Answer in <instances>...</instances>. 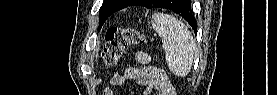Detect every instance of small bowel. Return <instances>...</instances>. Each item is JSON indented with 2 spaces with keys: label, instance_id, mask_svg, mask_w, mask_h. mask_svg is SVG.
<instances>
[{
  "label": "small bowel",
  "instance_id": "c3829d8e",
  "mask_svg": "<svg viewBox=\"0 0 277 95\" xmlns=\"http://www.w3.org/2000/svg\"><path fill=\"white\" fill-rule=\"evenodd\" d=\"M136 62L141 67H130L124 73L111 77L110 83L113 86H121L126 84L129 80L134 79L138 83L145 85L148 90L144 93L145 95L154 94L157 91L158 95H171L169 94V85L164 83H158L155 80L154 70L152 68L151 57L144 52H138L136 54ZM104 95L114 94L111 88H105L103 91Z\"/></svg>",
  "mask_w": 277,
  "mask_h": 95
}]
</instances>
